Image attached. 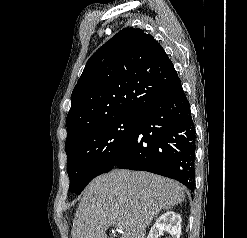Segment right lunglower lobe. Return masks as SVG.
I'll use <instances>...</instances> for the list:
<instances>
[{
	"label": "right lung lower lobe",
	"instance_id": "98d812e1",
	"mask_svg": "<svg viewBox=\"0 0 247 238\" xmlns=\"http://www.w3.org/2000/svg\"><path fill=\"white\" fill-rule=\"evenodd\" d=\"M195 148L190 106L179 80L167 96L139 113L137 124L113 168L173 178L193 192Z\"/></svg>",
	"mask_w": 247,
	"mask_h": 238
}]
</instances>
